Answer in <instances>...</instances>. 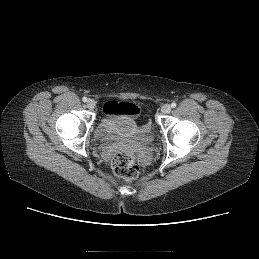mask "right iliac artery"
<instances>
[{"label":"right iliac artery","instance_id":"right-iliac-artery-1","mask_svg":"<svg viewBox=\"0 0 259 259\" xmlns=\"http://www.w3.org/2000/svg\"><path fill=\"white\" fill-rule=\"evenodd\" d=\"M82 101H83V102H87V97H83V98H82Z\"/></svg>","mask_w":259,"mask_h":259}]
</instances>
